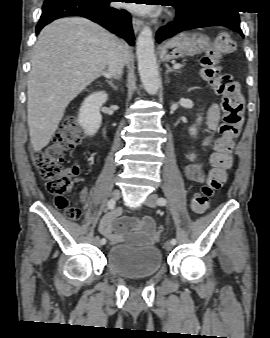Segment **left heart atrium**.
Instances as JSON below:
<instances>
[{
    "mask_svg": "<svg viewBox=\"0 0 270 338\" xmlns=\"http://www.w3.org/2000/svg\"><path fill=\"white\" fill-rule=\"evenodd\" d=\"M129 8L135 10L140 14H153V7L151 5H129Z\"/></svg>",
    "mask_w": 270,
    "mask_h": 338,
    "instance_id": "39dd6f15",
    "label": "left heart atrium"
}]
</instances>
